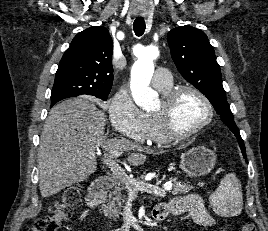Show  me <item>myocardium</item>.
Here are the masks:
<instances>
[{"label": "myocardium", "mask_w": 268, "mask_h": 231, "mask_svg": "<svg viewBox=\"0 0 268 231\" xmlns=\"http://www.w3.org/2000/svg\"><path fill=\"white\" fill-rule=\"evenodd\" d=\"M184 92H192L197 95L204 102L207 115L206 118L194 129L179 131L174 125L173 110L177 99ZM153 115L158 120L162 132L169 140H184L199 134L212 122L214 117V108L208 96L197 87L192 85H179L172 88L168 93L162 96L160 105L158 109L153 112Z\"/></svg>", "instance_id": "1"}]
</instances>
